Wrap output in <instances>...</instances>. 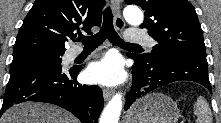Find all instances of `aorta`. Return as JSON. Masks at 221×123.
<instances>
[{
	"label": "aorta",
	"mask_w": 221,
	"mask_h": 123,
	"mask_svg": "<svg viewBox=\"0 0 221 123\" xmlns=\"http://www.w3.org/2000/svg\"><path fill=\"white\" fill-rule=\"evenodd\" d=\"M125 20L131 25H140L143 22V13L136 6H128L124 9ZM122 110V95L117 93L104 108L99 123H118Z\"/></svg>",
	"instance_id": "762f6f07"
}]
</instances>
